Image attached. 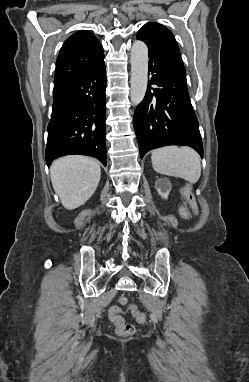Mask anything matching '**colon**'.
I'll use <instances>...</instances> for the list:
<instances>
[{"label": "colon", "instance_id": "obj_1", "mask_svg": "<svg viewBox=\"0 0 249 382\" xmlns=\"http://www.w3.org/2000/svg\"><path fill=\"white\" fill-rule=\"evenodd\" d=\"M120 304L121 305H127L128 304V299L126 297H121L120 298ZM130 309L132 311V314L136 321L138 323H145L146 322V316L143 312H140L137 310L135 306H130ZM122 310L120 307H112L109 311V316L111 321L114 323L116 330L118 334L122 336H131L135 332V327L132 324H125L122 317Z\"/></svg>", "mask_w": 249, "mask_h": 382}]
</instances>
